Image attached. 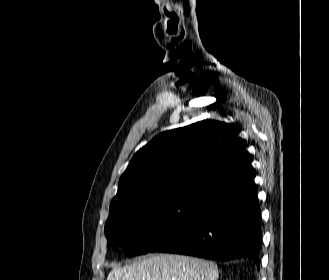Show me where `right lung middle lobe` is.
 <instances>
[{
	"label": "right lung middle lobe",
	"mask_w": 329,
	"mask_h": 280,
	"mask_svg": "<svg viewBox=\"0 0 329 280\" xmlns=\"http://www.w3.org/2000/svg\"><path fill=\"white\" fill-rule=\"evenodd\" d=\"M201 197H156L110 206L105 234L108 243L129 256L146 254L169 238L200 203Z\"/></svg>",
	"instance_id": "right-lung-middle-lobe-1"
}]
</instances>
